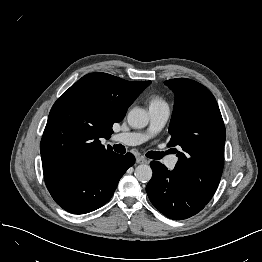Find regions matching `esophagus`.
<instances>
[{
  "mask_svg": "<svg viewBox=\"0 0 262 262\" xmlns=\"http://www.w3.org/2000/svg\"><path fill=\"white\" fill-rule=\"evenodd\" d=\"M136 163L137 164H147L148 160L144 156L138 155L136 157Z\"/></svg>",
  "mask_w": 262,
  "mask_h": 262,
  "instance_id": "esophagus-1",
  "label": "esophagus"
}]
</instances>
